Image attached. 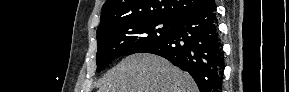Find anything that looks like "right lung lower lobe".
Instances as JSON below:
<instances>
[{
    "label": "right lung lower lobe",
    "instance_id": "right-lung-lower-lobe-1",
    "mask_svg": "<svg viewBox=\"0 0 289 92\" xmlns=\"http://www.w3.org/2000/svg\"><path fill=\"white\" fill-rule=\"evenodd\" d=\"M139 52L162 56L189 72L200 92H221L224 57L215 3L177 18L168 38Z\"/></svg>",
    "mask_w": 289,
    "mask_h": 92
}]
</instances>
